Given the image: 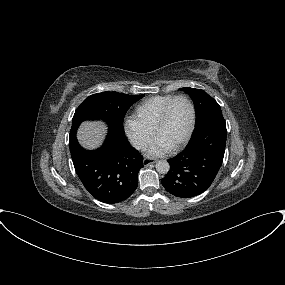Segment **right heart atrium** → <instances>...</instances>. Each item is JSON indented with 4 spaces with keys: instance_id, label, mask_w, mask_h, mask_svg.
Here are the masks:
<instances>
[{
    "instance_id": "d8ad5b80",
    "label": "right heart atrium",
    "mask_w": 285,
    "mask_h": 285,
    "mask_svg": "<svg viewBox=\"0 0 285 285\" xmlns=\"http://www.w3.org/2000/svg\"><path fill=\"white\" fill-rule=\"evenodd\" d=\"M124 131L130 143L138 150H144L150 143L153 130L143 125L133 115L124 120Z\"/></svg>"
}]
</instances>
